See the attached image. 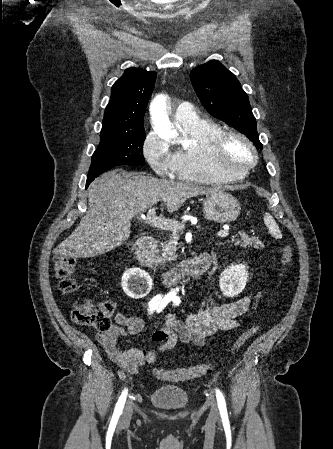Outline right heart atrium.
<instances>
[{
  "label": "right heart atrium",
  "instance_id": "1",
  "mask_svg": "<svg viewBox=\"0 0 333 449\" xmlns=\"http://www.w3.org/2000/svg\"><path fill=\"white\" fill-rule=\"evenodd\" d=\"M142 153L159 176L167 177L174 174L175 155L168 142L155 132L151 131L146 135L142 143Z\"/></svg>",
  "mask_w": 333,
  "mask_h": 449
}]
</instances>
